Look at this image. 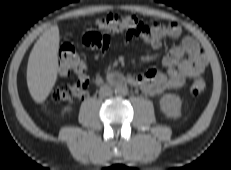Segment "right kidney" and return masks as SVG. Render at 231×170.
Returning a JSON list of instances; mask_svg holds the SVG:
<instances>
[{"instance_id": "right-kidney-1", "label": "right kidney", "mask_w": 231, "mask_h": 170, "mask_svg": "<svg viewBox=\"0 0 231 170\" xmlns=\"http://www.w3.org/2000/svg\"><path fill=\"white\" fill-rule=\"evenodd\" d=\"M71 110H72V108H71L70 106H68V107L65 108L64 111H65V112H70Z\"/></svg>"}]
</instances>
